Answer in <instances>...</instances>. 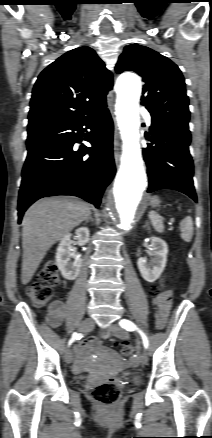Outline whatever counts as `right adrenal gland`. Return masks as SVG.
I'll return each instance as SVG.
<instances>
[{"mask_svg": "<svg viewBox=\"0 0 212 438\" xmlns=\"http://www.w3.org/2000/svg\"><path fill=\"white\" fill-rule=\"evenodd\" d=\"M89 220H91L92 222L94 221V219L92 218V213L90 212L89 216L85 219V223H88Z\"/></svg>", "mask_w": 212, "mask_h": 438, "instance_id": "2a0ac1e0", "label": "right adrenal gland"}]
</instances>
